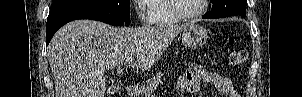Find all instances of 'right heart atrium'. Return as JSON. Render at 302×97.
<instances>
[{
  "label": "right heart atrium",
  "mask_w": 302,
  "mask_h": 97,
  "mask_svg": "<svg viewBox=\"0 0 302 97\" xmlns=\"http://www.w3.org/2000/svg\"><path fill=\"white\" fill-rule=\"evenodd\" d=\"M152 0H137V7H136V14L137 18L141 23L150 24L153 22V18L150 15V13L145 8V5H147Z\"/></svg>",
  "instance_id": "obj_1"
}]
</instances>
